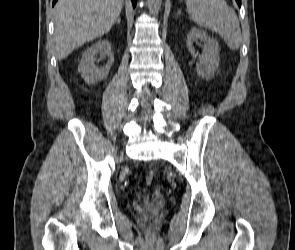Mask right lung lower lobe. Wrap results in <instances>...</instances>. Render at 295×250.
Wrapping results in <instances>:
<instances>
[{"label": "right lung lower lobe", "instance_id": "98d812e1", "mask_svg": "<svg viewBox=\"0 0 295 250\" xmlns=\"http://www.w3.org/2000/svg\"><path fill=\"white\" fill-rule=\"evenodd\" d=\"M57 0H53V5L56 3ZM133 3V6L135 7L137 0H131Z\"/></svg>", "mask_w": 295, "mask_h": 250}]
</instances>
